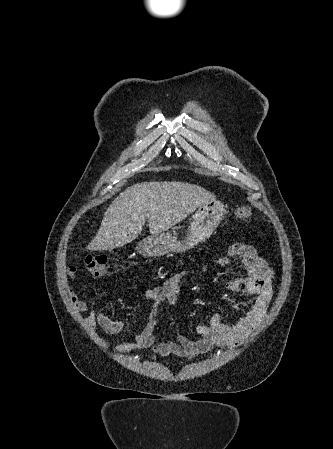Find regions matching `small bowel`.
<instances>
[{
  "label": "small bowel",
  "mask_w": 333,
  "mask_h": 449,
  "mask_svg": "<svg viewBox=\"0 0 333 449\" xmlns=\"http://www.w3.org/2000/svg\"><path fill=\"white\" fill-rule=\"evenodd\" d=\"M238 259L248 270V277L240 278L229 276L225 285L234 292H246L255 295L247 313L236 323L226 324L221 321L219 309L210 318L208 324H199L195 327L198 340L177 335L163 342H156L153 334L156 324L157 312L165 300L175 304L179 297V284L185 273H177L159 286L145 291L144 296L149 301L142 329L130 341L118 344L115 351L127 354L135 350L146 349L154 354L165 357L174 355L183 358H193L206 353L214 345L235 347L241 344L264 318L272 299L273 270L268 262L257 251L245 244H235L228 250V258L218 261L221 266H227L230 259ZM77 268L73 265L67 269L71 279H75ZM101 276V275H98ZM70 301L77 312L89 311V304L81 299L72 288L67 290ZM88 324L94 328L99 326L105 333L118 334L124 328V322L114 320L101 311L90 310L86 316Z\"/></svg>",
  "instance_id": "c3829d8e"
}]
</instances>
